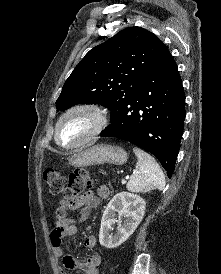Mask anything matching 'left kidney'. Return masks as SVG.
Listing matches in <instances>:
<instances>
[{"instance_id": "1", "label": "left kidney", "mask_w": 221, "mask_h": 274, "mask_svg": "<svg viewBox=\"0 0 221 274\" xmlns=\"http://www.w3.org/2000/svg\"><path fill=\"white\" fill-rule=\"evenodd\" d=\"M145 205V200L136 194H116L103 212L99 232L100 244L107 249H113L124 243L142 221ZM115 223L118 224V228L113 235L110 231Z\"/></svg>"}]
</instances>
